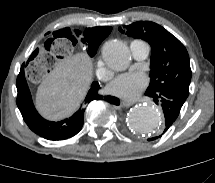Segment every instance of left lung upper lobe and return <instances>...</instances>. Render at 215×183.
<instances>
[{"label":"left lung upper lobe","mask_w":215,"mask_h":183,"mask_svg":"<svg viewBox=\"0 0 215 183\" xmlns=\"http://www.w3.org/2000/svg\"><path fill=\"white\" fill-rule=\"evenodd\" d=\"M119 31L146 40L152 48L151 80L146 93L170 89L188 97L191 81L189 55L175 36L150 21H138L124 29L119 28Z\"/></svg>","instance_id":"5c2ea615"}]
</instances>
